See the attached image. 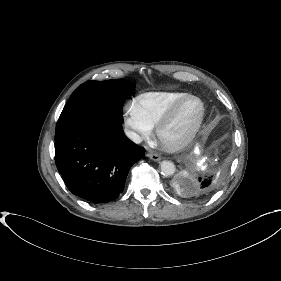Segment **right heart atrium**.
Returning a JSON list of instances; mask_svg holds the SVG:
<instances>
[{"label": "right heart atrium", "mask_w": 281, "mask_h": 281, "mask_svg": "<svg viewBox=\"0 0 281 281\" xmlns=\"http://www.w3.org/2000/svg\"><path fill=\"white\" fill-rule=\"evenodd\" d=\"M124 122L131 130L134 139L140 140L150 136L152 128L141 116L135 102H128L124 106Z\"/></svg>", "instance_id": "1"}]
</instances>
